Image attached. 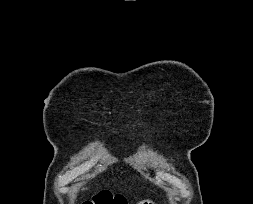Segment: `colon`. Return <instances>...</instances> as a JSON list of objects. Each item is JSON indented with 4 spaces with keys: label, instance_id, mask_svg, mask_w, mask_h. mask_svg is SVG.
<instances>
[{
    "label": "colon",
    "instance_id": "colon-1",
    "mask_svg": "<svg viewBox=\"0 0 253 204\" xmlns=\"http://www.w3.org/2000/svg\"><path fill=\"white\" fill-rule=\"evenodd\" d=\"M82 204H125L121 199L113 196L108 191L97 193L92 199L84 201Z\"/></svg>",
    "mask_w": 253,
    "mask_h": 204
}]
</instances>
